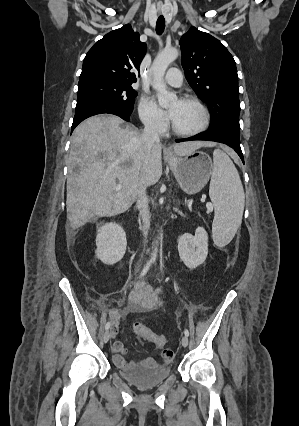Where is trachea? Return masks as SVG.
<instances>
[{"mask_svg": "<svg viewBox=\"0 0 299 426\" xmlns=\"http://www.w3.org/2000/svg\"><path fill=\"white\" fill-rule=\"evenodd\" d=\"M165 29V19L164 17L161 15L158 17L157 19V23H156V32L158 34H162L164 32Z\"/></svg>", "mask_w": 299, "mask_h": 426, "instance_id": "1", "label": "trachea"}]
</instances>
